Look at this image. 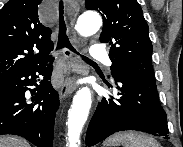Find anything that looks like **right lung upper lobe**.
I'll use <instances>...</instances> for the list:
<instances>
[{"mask_svg":"<svg viewBox=\"0 0 183 147\" xmlns=\"http://www.w3.org/2000/svg\"><path fill=\"white\" fill-rule=\"evenodd\" d=\"M41 0H10L0 11V78L50 60L52 30L38 18ZM34 49L39 50L37 54Z\"/></svg>","mask_w":183,"mask_h":147,"instance_id":"cb5924a9","label":"right lung upper lobe"}]
</instances>
